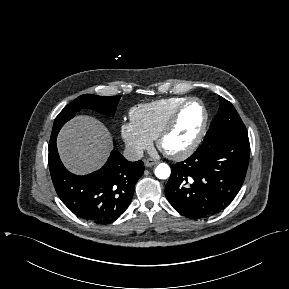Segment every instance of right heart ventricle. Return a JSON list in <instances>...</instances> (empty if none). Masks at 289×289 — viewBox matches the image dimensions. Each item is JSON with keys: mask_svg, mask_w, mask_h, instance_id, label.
I'll return each mask as SVG.
<instances>
[{"mask_svg": "<svg viewBox=\"0 0 289 289\" xmlns=\"http://www.w3.org/2000/svg\"><path fill=\"white\" fill-rule=\"evenodd\" d=\"M186 97H169L131 109L130 117L150 138L156 139L171 115Z\"/></svg>", "mask_w": 289, "mask_h": 289, "instance_id": "1", "label": "right heart ventricle"}]
</instances>
